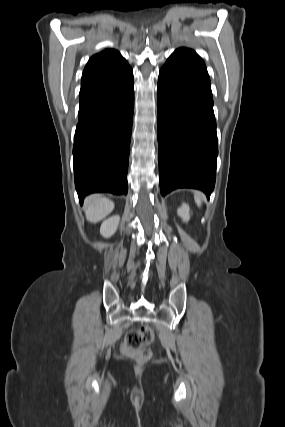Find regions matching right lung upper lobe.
Instances as JSON below:
<instances>
[{"label":"right lung upper lobe","mask_w":285,"mask_h":427,"mask_svg":"<svg viewBox=\"0 0 285 427\" xmlns=\"http://www.w3.org/2000/svg\"><path fill=\"white\" fill-rule=\"evenodd\" d=\"M128 67V62L118 51L105 49L89 59L83 71L81 89L115 77Z\"/></svg>","instance_id":"1"}]
</instances>
